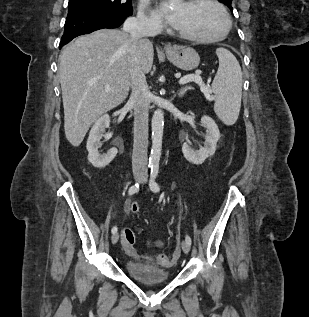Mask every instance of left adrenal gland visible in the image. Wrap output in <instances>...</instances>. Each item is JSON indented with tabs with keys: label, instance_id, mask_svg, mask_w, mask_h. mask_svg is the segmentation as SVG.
<instances>
[{
	"label": "left adrenal gland",
	"instance_id": "1",
	"mask_svg": "<svg viewBox=\"0 0 309 317\" xmlns=\"http://www.w3.org/2000/svg\"><path fill=\"white\" fill-rule=\"evenodd\" d=\"M190 89H192V87H190V86H185V87L181 88L178 92V96L183 97V95Z\"/></svg>",
	"mask_w": 309,
	"mask_h": 317
}]
</instances>
